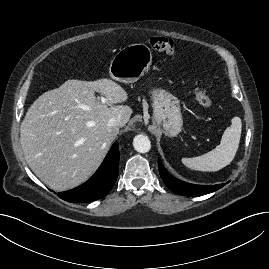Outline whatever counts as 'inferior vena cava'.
<instances>
[{
	"label": "inferior vena cava",
	"mask_w": 269,
	"mask_h": 269,
	"mask_svg": "<svg viewBox=\"0 0 269 269\" xmlns=\"http://www.w3.org/2000/svg\"><path fill=\"white\" fill-rule=\"evenodd\" d=\"M121 124V119L119 117H112L108 121L109 127H118Z\"/></svg>",
	"instance_id": "inferior-vena-cava-1"
}]
</instances>
